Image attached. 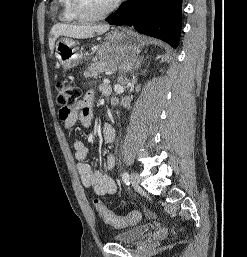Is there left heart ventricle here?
Listing matches in <instances>:
<instances>
[{"mask_svg": "<svg viewBox=\"0 0 247 257\" xmlns=\"http://www.w3.org/2000/svg\"><path fill=\"white\" fill-rule=\"evenodd\" d=\"M85 8L91 13H98L106 9L114 0H83Z\"/></svg>", "mask_w": 247, "mask_h": 257, "instance_id": "left-heart-ventricle-1", "label": "left heart ventricle"}]
</instances>
